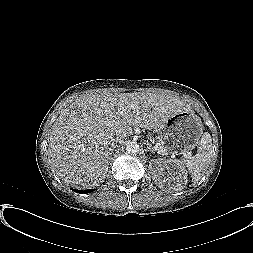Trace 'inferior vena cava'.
I'll use <instances>...</instances> for the list:
<instances>
[{"instance_id":"602c4592","label":"inferior vena cava","mask_w":253,"mask_h":253,"mask_svg":"<svg viewBox=\"0 0 253 253\" xmlns=\"http://www.w3.org/2000/svg\"><path fill=\"white\" fill-rule=\"evenodd\" d=\"M117 143H122L119 139H113L112 146H117Z\"/></svg>"}]
</instances>
